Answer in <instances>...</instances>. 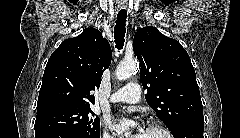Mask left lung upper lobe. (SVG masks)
I'll list each match as a JSON object with an SVG mask.
<instances>
[{
    "label": "left lung upper lobe",
    "mask_w": 240,
    "mask_h": 138,
    "mask_svg": "<svg viewBox=\"0 0 240 138\" xmlns=\"http://www.w3.org/2000/svg\"><path fill=\"white\" fill-rule=\"evenodd\" d=\"M133 50L141 64L146 101L171 132L188 120L203 118L195 70L177 40L148 26L135 34Z\"/></svg>",
    "instance_id": "obj_1"
}]
</instances>
